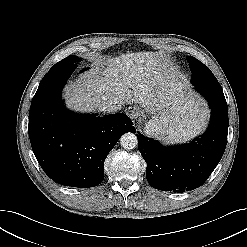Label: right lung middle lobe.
<instances>
[{"mask_svg":"<svg viewBox=\"0 0 247 247\" xmlns=\"http://www.w3.org/2000/svg\"><path fill=\"white\" fill-rule=\"evenodd\" d=\"M80 60L81 59L77 56H68L63 60L59 61L58 63H56L50 70L54 71L62 68L74 70L77 67L76 63L79 62Z\"/></svg>","mask_w":247,"mask_h":247,"instance_id":"dd1d6c3e","label":"right lung middle lobe"}]
</instances>
